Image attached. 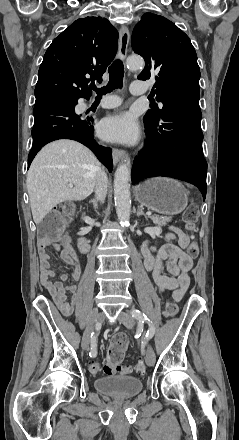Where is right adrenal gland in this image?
I'll return each instance as SVG.
<instances>
[{
	"mask_svg": "<svg viewBox=\"0 0 239 440\" xmlns=\"http://www.w3.org/2000/svg\"><path fill=\"white\" fill-rule=\"evenodd\" d=\"M90 204H93V208L96 212V210L99 208L98 200H90Z\"/></svg>",
	"mask_w": 239,
	"mask_h": 440,
	"instance_id": "right-adrenal-gland-1",
	"label": "right adrenal gland"
}]
</instances>
